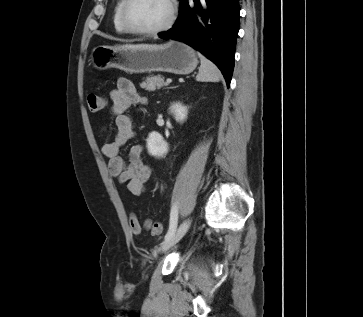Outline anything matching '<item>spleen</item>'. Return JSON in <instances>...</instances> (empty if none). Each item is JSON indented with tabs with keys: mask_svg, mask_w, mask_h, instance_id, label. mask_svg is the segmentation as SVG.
<instances>
[{
	"mask_svg": "<svg viewBox=\"0 0 363 317\" xmlns=\"http://www.w3.org/2000/svg\"><path fill=\"white\" fill-rule=\"evenodd\" d=\"M198 56L201 65L196 80L200 82H218L221 78V72L217 66L201 53H198Z\"/></svg>",
	"mask_w": 363,
	"mask_h": 317,
	"instance_id": "obj_1",
	"label": "spleen"
}]
</instances>
